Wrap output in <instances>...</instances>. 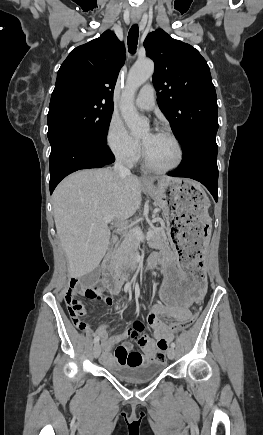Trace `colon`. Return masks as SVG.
<instances>
[{
  "mask_svg": "<svg viewBox=\"0 0 263 435\" xmlns=\"http://www.w3.org/2000/svg\"><path fill=\"white\" fill-rule=\"evenodd\" d=\"M76 293H83L88 299L91 300H103L109 301L110 297L103 296L100 290V287L96 285H84L78 280H72L69 284L66 296L65 303L71 316L74 324L81 330H86V324L80 319L84 314V307L78 297L75 295ZM200 310V306L197 305L195 308V313L193 316L186 322L184 321H169L167 324L170 329H188L189 326L194 322L197 318ZM162 341V340H161ZM156 343V340H155Z\"/></svg>",
  "mask_w": 263,
  "mask_h": 435,
  "instance_id": "colon-1",
  "label": "colon"
}]
</instances>
